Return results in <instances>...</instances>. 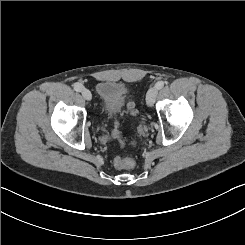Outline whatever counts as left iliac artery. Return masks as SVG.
<instances>
[{"mask_svg":"<svg viewBox=\"0 0 245 245\" xmlns=\"http://www.w3.org/2000/svg\"><path fill=\"white\" fill-rule=\"evenodd\" d=\"M155 86H156L157 89H162L164 87V82L163 81H159V82L156 83Z\"/></svg>","mask_w":245,"mask_h":245,"instance_id":"left-iliac-artery-1","label":"left iliac artery"}]
</instances>
